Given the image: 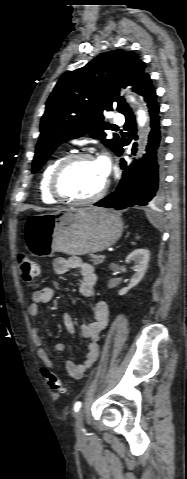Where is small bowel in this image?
<instances>
[{
	"label": "small bowel",
	"mask_w": 187,
	"mask_h": 479,
	"mask_svg": "<svg viewBox=\"0 0 187 479\" xmlns=\"http://www.w3.org/2000/svg\"><path fill=\"white\" fill-rule=\"evenodd\" d=\"M53 267L57 274H67L73 270H77L80 277L78 283V291L80 295L87 298L93 294L97 282V276L91 264L83 261L80 257L71 256L68 258H56L53 262ZM54 295L55 289L51 286L44 287L34 292L32 295V302L28 307L29 315L41 321L40 305L50 302ZM109 317V305L105 301H98L90 320L81 326V335L88 340L84 361L82 363H77L72 359H67L65 361V369L71 378L81 380L95 364L99 355L100 334L106 327ZM63 324L67 332L70 335H73L75 332V322L70 313L63 314ZM31 336L37 349V355L43 362L41 373L45 377L46 371L53 372V362L43 346V338L40 330L38 328H33ZM54 349L58 353H65L67 352L68 347L65 343L58 342L54 344Z\"/></svg>",
	"instance_id": "small-bowel-1"
}]
</instances>
